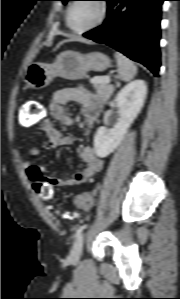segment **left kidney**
I'll return each instance as SVG.
<instances>
[{
	"mask_svg": "<svg viewBox=\"0 0 180 299\" xmlns=\"http://www.w3.org/2000/svg\"><path fill=\"white\" fill-rule=\"evenodd\" d=\"M147 94L143 80H135L126 85L116 96L120 118L113 128L100 127L94 137L95 153L104 158L112 153L122 141L128 128L141 111Z\"/></svg>",
	"mask_w": 180,
	"mask_h": 299,
	"instance_id": "obj_1",
	"label": "left kidney"
}]
</instances>
